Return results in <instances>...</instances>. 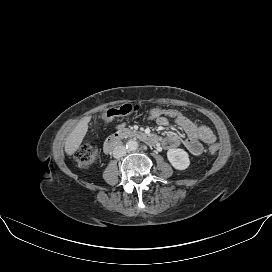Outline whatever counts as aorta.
<instances>
[{
  "label": "aorta",
  "mask_w": 272,
  "mask_h": 272,
  "mask_svg": "<svg viewBox=\"0 0 272 272\" xmlns=\"http://www.w3.org/2000/svg\"><path fill=\"white\" fill-rule=\"evenodd\" d=\"M138 142L136 140H129L126 143V149L128 151H136L138 149Z\"/></svg>",
  "instance_id": "aorta-1"
}]
</instances>
